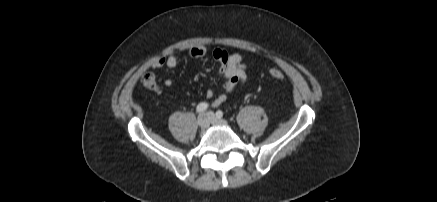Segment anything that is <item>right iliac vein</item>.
Returning a JSON list of instances; mask_svg holds the SVG:
<instances>
[{
  "instance_id": "right-iliac-vein-1",
  "label": "right iliac vein",
  "mask_w": 437,
  "mask_h": 202,
  "mask_svg": "<svg viewBox=\"0 0 437 202\" xmlns=\"http://www.w3.org/2000/svg\"><path fill=\"white\" fill-rule=\"evenodd\" d=\"M197 123H198V125H199L200 128H202V129H206V128L209 127L210 119H209V117H208L207 115H205V114H200V115L198 116Z\"/></svg>"
}]
</instances>
